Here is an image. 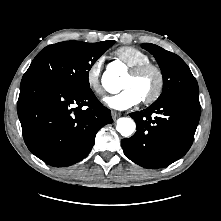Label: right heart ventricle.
Masks as SVG:
<instances>
[{"label":"right heart ventricle","instance_id":"e07e8e85","mask_svg":"<svg viewBox=\"0 0 221 221\" xmlns=\"http://www.w3.org/2000/svg\"><path fill=\"white\" fill-rule=\"evenodd\" d=\"M113 55L128 67H133L150 61V57L146 52L134 46L119 47L113 52Z\"/></svg>","mask_w":221,"mask_h":221}]
</instances>
